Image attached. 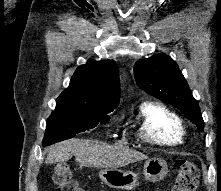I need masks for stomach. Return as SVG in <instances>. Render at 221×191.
<instances>
[{
	"label": "stomach",
	"mask_w": 221,
	"mask_h": 191,
	"mask_svg": "<svg viewBox=\"0 0 221 191\" xmlns=\"http://www.w3.org/2000/svg\"><path fill=\"white\" fill-rule=\"evenodd\" d=\"M168 172L167 163L163 159L151 158L144 164V179L151 182L162 180ZM100 179L109 187L132 190L139 186V174L133 170L123 171L118 168H105L99 172Z\"/></svg>",
	"instance_id": "stomach-1"
}]
</instances>
